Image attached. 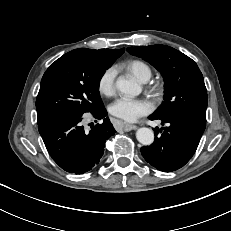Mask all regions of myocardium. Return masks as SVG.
<instances>
[{"mask_svg":"<svg viewBox=\"0 0 231 231\" xmlns=\"http://www.w3.org/2000/svg\"><path fill=\"white\" fill-rule=\"evenodd\" d=\"M164 90V83L159 81L156 82L152 87H151V91L156 94V95H160Z\"/></svg>","mask_w":231,"mask_h":231,"instance_id":"f54148a6","label":"myocardium"}]
</instances>
